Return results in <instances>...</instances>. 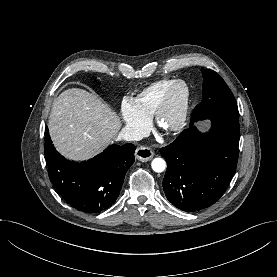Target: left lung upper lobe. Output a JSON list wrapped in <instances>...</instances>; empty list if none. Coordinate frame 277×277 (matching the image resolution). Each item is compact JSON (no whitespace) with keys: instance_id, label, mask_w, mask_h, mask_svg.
I'll use <instances>...</instances> for the list:
<instances>
[{"instance_id":"left-lung-upper-lobe-1","label":"left lung upper lobe","mask_w":277,"mask_h":277,"mask_svg":"<svg viewBox=\"0 0 277 277\" xmlns=\"http://www.w3.org/2000/svg\"><path fill=\"white\" fill-rule=\"evenodd\" d=\"M201 72L204 78L202 102L195 107L191 121L213 117L238 120L236 101L225 81L212 70L202 69Z\"/></svg>"}]
</instances>
